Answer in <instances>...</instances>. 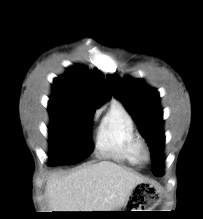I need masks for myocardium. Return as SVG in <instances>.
Masks as SVG:
<instances>
[{
  "mask_svg": "<svg viewBox=\"0 0 203 219\" xmlns=\"http://www.w3.org/2000/svg\"><path fill=\"white\" fill-rule=\"evenodd\" d=\"M137 147L141 160L148 161L150 159V151L147 144L142 139H139Z\"/></svg>",
  "mask_w": 203,
  "mask_h": 219,
  "instance_id": "obj_1",
  "label": "myocardium"
}]
</instances>
